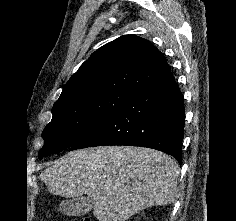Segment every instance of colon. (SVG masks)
I'll use <instances>...</instances> for the list:
<instances>
[{
	"label": "colon",
	"instance_id": "5ec220e1",
	"mask_svg": "<svg viewBox=\"0 0 236 221\" xmlns=\"http://www.w3.org/2000/svg\"><path fill=\"white\" fill-rule=\"evenodd\" d=\"M75 221H91L89 218H81L79 220H75Z\"/></svg>",
	"mask_w": 236,
	"mask_h": 221
}]
</instances>
